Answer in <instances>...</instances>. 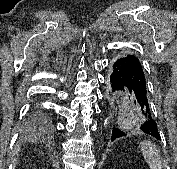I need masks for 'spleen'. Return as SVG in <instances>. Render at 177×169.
<instances>
[{
  "instance_id": "3e777b00",
  "label": "spleen",
  "mask_w": 177,
  "mask_h": 169,
  "mask_svg": "<svg viewBox=\"0 0 177 169\" xmlns=\"http://www.w3.org/2000/svg\"><path fill=\"white\" fill-rule=\"evenodd\" d=\"M139 146L150 168L162 169V159L157 146L148 141L140 142Z\"/></svg>"
}]
</instances>
